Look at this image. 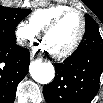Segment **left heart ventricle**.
I'll return each mask as SVG.
<instances>
[{"label": "left heart ventricle", "instance_id": "b2bd125f", "mask_svg": "<svg viewBox=\"0 0 103 103\" xmlns=\"http://www.w3.org/2000/svg\"><path fill=\"white\" fill-rule=\"evenodd\" d=\"M81 27L80 17L73 13L65 17L60 24L50 31L44 40L51 52H60L69 47L76 39Z\"/></svg>", "mask_w": 103, "mask_h": 103}]
</instances>
